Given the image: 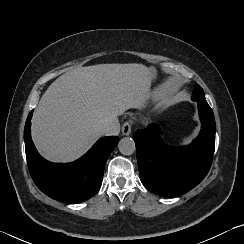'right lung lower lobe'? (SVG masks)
Masks as SVG:
<instances>
[{
	"instance_id": "obj_1",
	"label": "right lung lower lobe",
	"mask_w": 244,
	"mask_h": 244,
	"mask_svg": "<svg viewBox=\"0 0 244 244\" xmlns=\"http://www.w3.org/2000/svg\"><path fill=\"white\" fill-rule=\"evenodd\" d=\"M33 110L29 113L24 140L27 164L37 187L52 199L80 203L93 197L99 190L105 163L119 142L117 136L99 139L81 158L71 163H51L37 152L31 139Z\"/></svg>"
}]
</instances>
